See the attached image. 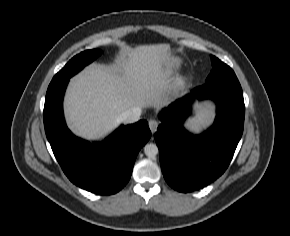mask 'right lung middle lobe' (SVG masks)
Here are the masks:
<instances>
[{"label":"right lung middle lobe","instance_id":"dd1d6c3e","mask_svg":"<svg viewBox=\"0 0 290 236\" xmlns=\"http://www.w3.org/2000/svg\"><path fill=\"white\" fill-rule=\"evenodd\" d=\"M101 51L98 49L87 50L73 57L55 76L52 80H62L70 78L83 69L87 64L91 63Z\"/></svg>","mask_w":290,"mask_h":236}]
</instances>
